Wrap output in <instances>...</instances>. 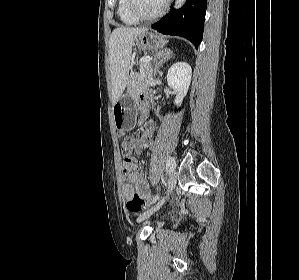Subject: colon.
I'll use <instances>...</instances> for the list:
<instances>
[{
    "mask_svg": "<svg viewBox=\"0 0 299 280\" xmlns=\"http://www.w3.org/2000/svg\"><path fill=\"white\" fill-rule=\"evenodd\" d=\"M133 136H138V131L132 132ZM134 137H130L123 142V175L135 172L139 168V162L131 155L132 144ZM146 201L139 196H134L132 199L127 200L126 208L130 212H137L145 206Z\"/></svg>",
    "mask_w": 299,
    "mask_h": 280,
    "instance_id": "colon-1",
    "label": "colon"
}]
</instances>
